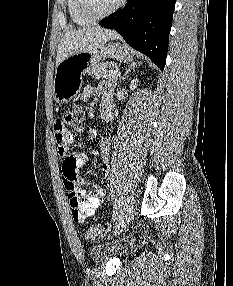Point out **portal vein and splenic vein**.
<instances>
[{
  "instance_id": "1",
  "label": "portal vein and splenic vein",
  "mask_w": 233,
  "mask_h": 286,
  "mask_svg": "<svg viewBox=\"0 0 233 286\" xmlns=\"http://www.w3.org/2000/svg\"><path fill=\"white\" fill-rule=\"evenodd\" d=\"M117 73H118V70H110L111 75H117Z\"/></svg>"
}]
</instances>
